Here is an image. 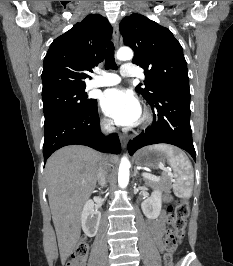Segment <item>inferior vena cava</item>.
Here are the masks:
<instances>
[{"label":"inferior vena cava","instance_id":"obj_1","mask_svg":"<svg viewBox=\"0 0 233 266\" xmlns=\"http://www.w3.org/2000/svg\"><path fill=\"white\" fill-rule=\"evenodd\" d=\"M102 130L105 134L112 132L114 130L113 123L112 122L103 123ZM107 177H108V166L107 163L103 161L100 164V168L98 170V175H97L99 184L104 186L106 184Z\"/></svg>","mask_w":233,"mask_h":266}]
</instances>
